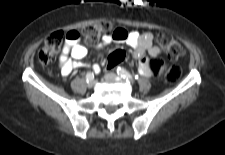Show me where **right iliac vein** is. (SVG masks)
Masks as SVG:
<instances>
[{
	"instance_id": "right-iliac-vein-1",
	"label": "right iliac vein",
	"mask_w": 225,
	"mask_h": 155,
	"mask_svg": "<svg viewBox=\"0 0 225 155\" xmlns=\"http://www.w3.org/2000/svg\"><path fill=\"white\" fill-rule=\"evenodd\" d=\"M96 81L93 79V80H90L89 82H87V85L89 88H92L94 85H95Z\"/></svg>"
}]
</instances>
